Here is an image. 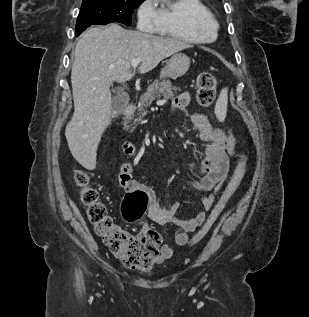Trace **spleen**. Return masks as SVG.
<instances>
[{"mask_svg": "<svg viewBox=\"0 0 309 317\" xmlns=\"http://www.w3.org/2000/svg\"><path fill=\"white\" fill-rule=\"evenodd\" d=\"M227 103H228V89L224 88L221 90L219 97L215 105V115L217 119L223 122L226 118L227 113Z\"/></svg>", "mask_w": 309, "mask_h": 317, "instance_id": "3e777b00", "label": "spleen"}]
</instances>
